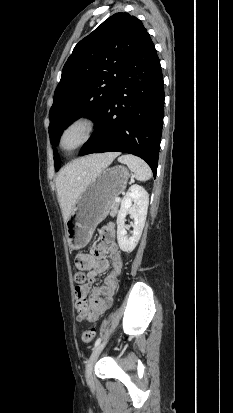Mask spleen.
I'll return each instance as SVG.
<instances>
[{
	"label": "spleen",
	"mask_w": 233,
	"mask_h": 413,
	"mask_svg": "<svg viewBox=\"0 0 233 413\" xmlns=\"http://www.w3.org/2000/svg\"><path fill=\"white\" fill-rule=\"evenodd\" d=\"M118 161L126 164L134 173L135 178L139 181L149 180L152 176V171L148 164L139 157L126 154L119 157Z\"/></svg>",
	"instance_id": "1"
}]
</instances>
